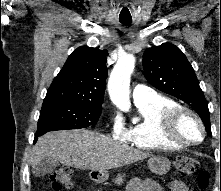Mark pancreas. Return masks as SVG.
I'll use <instances>...</instances> for the list:
<instances>
[{
  "label": "pancreas",
  "mask_w": 221,
  "mask_h": 191,
  "mask_svg": "<svg viewBox=\"0 0 221 191\" xmlns=\"http://www.w3.org/2000/svg\"><path fill=\"white\" fill-rule=\"evenodd\" d=\"M124 177L125 175H121V174H118L117 177L115 179H113V182L117 185H121L124 181Z\"/></svg>",
  "instance_id": "cf45deb5"
}]
</instances>
